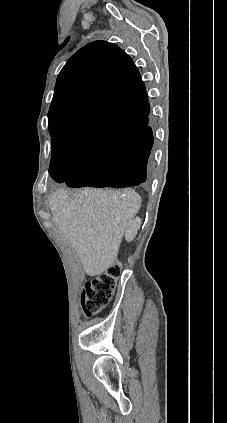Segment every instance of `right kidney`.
I'll use <instances>...</instances> for the list:
<instances>
[{"label": "right kidney", "instance_id": "right-kidney-1", "mask_svg": "<svg viewBox=\"0 0 227 423\" xmlns=\"http://www.w3.org/2000/svg\"><path fill=\"white\" fill-rule=\"evenodd\" d=\"M141 223V217H134V219H131V221H129V225L125 233V239H127V241H132V239H134L135 235H137L138 229H140Z\"/></svg>", "mask_w": 227, "mask_h": 423}]
</instances>
